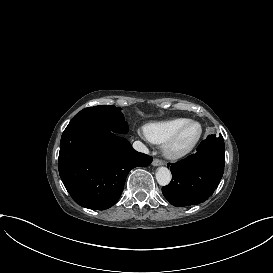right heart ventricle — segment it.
<instances>
[{
	"label": "right heart ventricle",
	"mask_w": 273,
	"mask_h": 273,
	"mask_svg": "<svg viewBox=\"0 0 273 273\" xmlns=\"http://www.w3.org/2000/svg\"><path fill=\"white\" fill-rule=\"evenodd\" d=\"M189 120L188 118H176L163 122L150 123L146 125L144 134L150 142L164 144Z\"/></svg>",
	"instance_id": "e07e8e85"
}]
</instances>
